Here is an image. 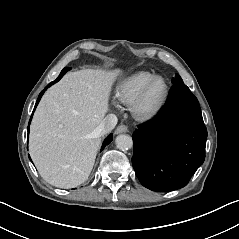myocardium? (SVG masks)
<instances>
[{
    "instance_id": "obj_1",
    "label": "myocardium",
    "mask_w": 239,
    "mask_h": 239,
    "mask_svg": "<svg viewBox=\"0 0 239 239\" xmlns=\"http://www.w3.org/2000/svg\"><path fill=\"white\" fill-rule=\"evenodd\" d=\"M159 80H163L165 82V94L159 104L152 111H145L144 104L148 93L152 86ZM170 90V84L166 78L162 76H156L151 79L132 103L131 112L134 118L141 122H150L158 118L167 105L170 97Z\"/></svg>"
}]
</instances>
